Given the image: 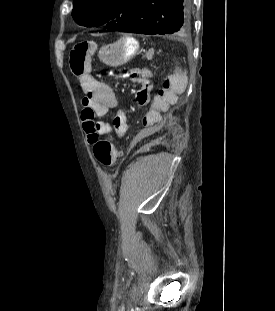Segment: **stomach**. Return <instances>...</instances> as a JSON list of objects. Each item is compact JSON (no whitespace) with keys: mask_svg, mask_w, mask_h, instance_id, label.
<instances>
[{"mask_svg":"<svg viewBox=\"0 0 275 311\" xmlns=\"http://www.w3.org/2000/svg\"><path fill=\"white\" fill-rule=\"evenodd\" d=\"M139 53V43L131 37L120 38L117 42L100 48V61L111 67L121 66Z\"/></svg>","mask_w":275,"mask_h":311,"instance_id":"1","label":"stomach"}]
</instances>
